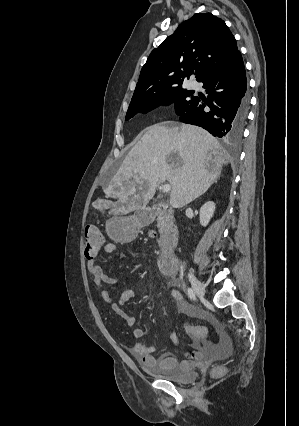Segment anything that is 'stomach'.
Here are the masks:
<instances>
[{
  "mask_svg": "<svg viewBox=\"0 0 299 426\" xmlns=\"http://www.w3.org/2000/svg\"><path fill=\"white\" fill-rule=\"evenodd\" d=\"M137 224L125 217H112L106 221V232L112 239L127 242L135 237Z\"/></svg>",
  "mask_w": 299,
  "mask_h": 426,
  "instance_id": "obj_1",
  "label": "stomach"
}]
</instances>
